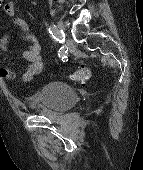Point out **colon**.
I'll return each instance as SVG.
<instances>
[{
  "mask_svg": "<svg viewBox=\"0 0 143 170\" xmlns=\"http://www.w3.org/2000/svg\"><path fill=\"white\" fill-rule=\"evenodd\" d=\"M4 0H0L2 3ZM91 71L87 66H80L76 71L69 74V79L75 82L85 83L90 79Z\"/></svg>",
  "mask_w": 143,
  "mask_h": 170,
  "instance_id": "colon-1",
  "label": "colon"
}]
</instances>
